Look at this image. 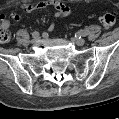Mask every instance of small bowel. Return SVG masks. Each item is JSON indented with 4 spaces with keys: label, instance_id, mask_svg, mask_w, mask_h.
<instances>
[{
    "label": "small bowel",
    "instance_id": "obj_1",
    "mask_svg": "<svg viewBox=\"0 0 119 119\" xmlns=\"http://www.w3.org/2000/svg\"><path fill=\"white\" fill-rule=\"evenodd\" d=\"M47 7H52L54 9V16L56 18L67 17L71 14L69 6H67L61 1H40L36 3H27L22 6V9L26 13H32L34 11L46 9ZM10 19L14 22H18L20 21V16L18 14L13 13L10 15ZM1 26L4 29H9L10 27V21L5 16L1 17ZM53 28L54 24H51L49 26V30L52 31Z\"/></svg>",
    "mask_w": 119,
    "mask_h": 119
}]
</instances>
